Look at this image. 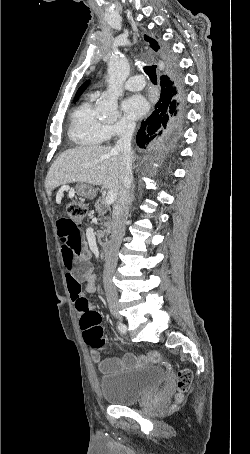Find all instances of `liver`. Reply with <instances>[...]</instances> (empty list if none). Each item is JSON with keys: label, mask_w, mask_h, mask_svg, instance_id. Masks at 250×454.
<instances>
[{"label": "liver", "mask_w": 250, "mask_h": 454, "mask_svg": "<svg viewBox=\"0 0 250 454\" xmlns=\"http://www.w3.org/2000/svg\"><path fill=\"white\" fill-rule=\"evenodd\" d=\"M123 165L121 157L110 146L68 149L51 165L45 180L47 193L69 183L102 186L119 193Z\"/></svg>", "instance_id": "6515ba94"}]
</instances>
